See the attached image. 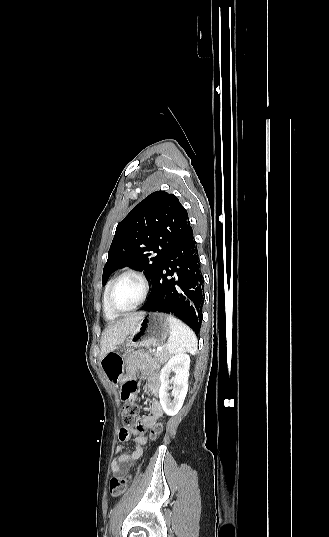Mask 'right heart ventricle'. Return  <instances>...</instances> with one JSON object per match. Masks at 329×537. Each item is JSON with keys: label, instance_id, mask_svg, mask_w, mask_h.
Wrapping results in <instances>:
<instances>
[{"label": "right heart ventricle", "instance_id": "e07e8e85", "mask_svg": "<svg viewBox=\"0 0 329 537\" xmlns=\"http://www.w3.org/2000/svg\"><path fill=\"white\" fill-rule=\"evenodd\" d=\"M111 283H112V280L108 281V283L106 284L104 288L103 296H102V306H103V310H104L106 317L109 319H114L118 316V314L113 313L107 305V293H108V289Z\"/></svg>", "mask_w": 329, "mask_h": 537}]
</instances>
